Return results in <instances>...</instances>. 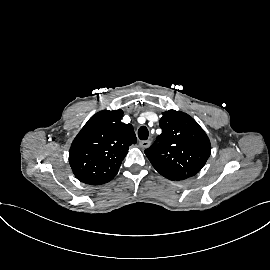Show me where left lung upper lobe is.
<instances>
[{"label":"left lung upper lobe","instance_id":"5c2ea615","mask_svg":"<svg viewBox=\"0 0 270 270\" xmlns=\"http://www.w3.org/2000/svg\"><path fill=\"white\" fill-rule=\"evenodd\" d=\"M162 134L145 154L165 178L184 180L197 174L210 156L211 144L199 124L175 110L162 113Z\"/></svg>","mask_w":270,"mask_h":270}]
</instances>
